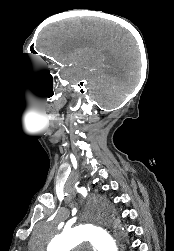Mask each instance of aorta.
Masks as SVG:
<instances>
[{
  "label": "aorta",
  "mask_w": 174,
  "mask_h": 251,
  "mask_svg": "<svg viewBox=\"0 0 174 251\" xmlns=\"http://www.w3.org/2000/svg\"><path fill=\"white\" fill-rule=\"evenodd\" d=\"M85 221L79 226L63 231L47 246V251H70L84 242L90 243L97 251H119L124 231L118 228L115 237L110 232V222L100 216L94 206L86 210Z\"/></svg>",
  "instance_id": "1"
}]
</instances>
